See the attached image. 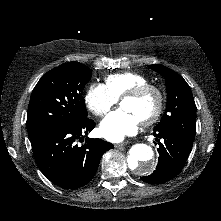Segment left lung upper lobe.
<instances>
[{
	"mask_svg": "<svg viewBox=\"0 0 221 221\" xmlns=\"http://www.w3.org/2000/svg\"><path fill=\"white\" fill-rule=\"evenodd\" d=\"M149 68L160 73L167 86L166 111L154 130H171L193 143L197 108L189 85L182 76L165 66L153 64Z\"/></svg>",
	"mask_w": 221,
	"mask_h": 221,
	"instance_id": "1",
	"label": "left lung upper lobe"
}]
</instances>
